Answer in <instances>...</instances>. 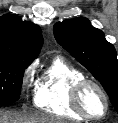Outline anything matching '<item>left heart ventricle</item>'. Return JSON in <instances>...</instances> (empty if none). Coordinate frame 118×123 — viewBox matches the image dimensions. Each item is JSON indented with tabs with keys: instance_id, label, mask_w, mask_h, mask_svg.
<instances>
[{
	"instance_id": "1",
	"label": "left heart ventricle",
	"mask_w": 118,
	"mask_h": 123,
	"mask_svg": "<svg viewBox=\"0 0 118 123\" xmlns=\"http://www.w3.org/2000/svg\"><path fill=\"white\" fill-rule=\"evenodd\" d=\"M83 104L86 110L92 115H101L105 109L101 94L93 87L87 88L84 92Z\"/></svg>"
}]
</instances>
